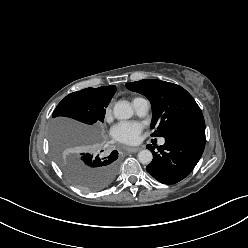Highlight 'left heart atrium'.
<instances>
[{"mask_svg":"<svg viewBox=\"0 0 248 248\" xmlns=\"http://www.w3.org/2000/svg\"><path fill=\"white\" fill-rule=\"evenodd\" d=\"M142 125L138 122L122 121L113 126L112 137L121 143L134 144L138 141Z\"/></svg>","mask_w":248,"mask_h":248,"instance_id":"obj_1","label":"left heart atrium"}]
</instances>
